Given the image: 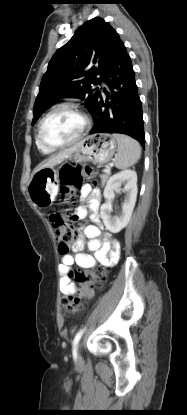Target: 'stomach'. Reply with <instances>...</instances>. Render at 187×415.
I'll list each match as a JSON object with an SVG mask.
<instances>
[{
  "label": "stomach",
  "mask_w": 187,
  "mask_h": 415,
  "mask_svg": "<svg viewBox=\"0 0 187 415\" xmlns=\"http://www.w3.org/2000/svg\"><path fill=\"white\" fill-rule=\"evenodd\" d=\"M117 151V141L112 134L98 133L86 137L79 143V148L68 158L75 163L92 162L105 164L112 160ZM58 170L47 167L33 173L28 184V194L33 204L39 208L49 206L58 192Z\"/></svg>",
  "instance_id": "obj_1"
}]
</instances>
